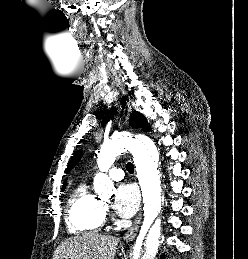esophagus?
<instances>
[{
  "mask_svg": "<svg viewBox=\"0 0 248 259\" xmlns=\"http://www.w3.org/2000/svg\"><path fill=\"white\" fill-rule=\"evenodd\" d=\"M141 219H142V210L140 209L138 216L135 219L133 225L129 228V230L127 231V233L124 236L125 242H130V241L134 240V238L137 235V232L139 230Z\"/></svg>",
  "mask_w": 248,
  "mask_h": 259,
  "instance_id": "esophagus-1",
  "label": "esophagus"
}]
</instances>
